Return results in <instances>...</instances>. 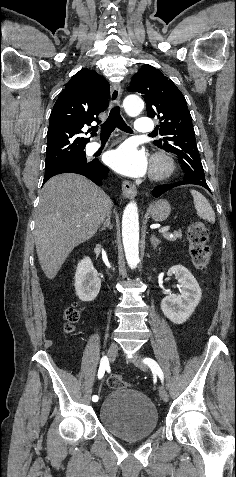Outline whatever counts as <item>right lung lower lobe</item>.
<instances>
[{"instance_id":"1","label":"right lung lower lobe","mask_w":236,"mask_h":477,"mask_svg":"<svg viewBox=\"0 0 236 477\" xmlns=\"http://www.w3.org/2000/svg\"><path fill=\"white\" fill-rule=\"evenodd\" d=\"M108 172V167L104 166L98 159H95L87 165H77L46 170L43 182H46L49 178L57 174L76 173L89 178L97 185H101L102 181L107 178Z\"/></svg>"}]
</instances>
